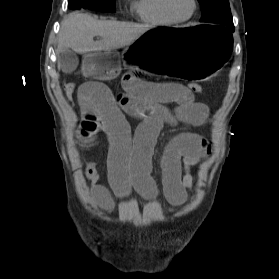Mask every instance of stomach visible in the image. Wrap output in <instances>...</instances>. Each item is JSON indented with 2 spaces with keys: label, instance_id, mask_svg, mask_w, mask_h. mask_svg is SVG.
Masks as SVG:
<instances>
[{
  "label": "stomach",
  "instance_id": "0dacf381",
  "mask_svg": "<svg viewBox=\"0 0 279 279\" xmlns=\"http://www.w3.org/2000/svg\"><path fill=\"white\" fill-rule=\"evenodd\" d=\"M216 29H225V24L176 28L155 25L129 44L123 54L113 49L85 50L76 64L75 75L83 82H112L124 63V69L140 67L141 75L151 72L167 82H212L218 78L216 72H224V66L235 55L231 34H220Z\"/></svg>",
  "mask_w": 279,
  "mask_h": 279
}]
</instances>
